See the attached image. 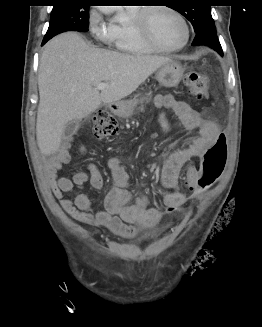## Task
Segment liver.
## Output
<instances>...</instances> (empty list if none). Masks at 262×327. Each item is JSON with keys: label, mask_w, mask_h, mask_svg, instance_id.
Instances as JSON below:
<instances>
[{"label": "liver", "mask_w": 262, "mask_h": 327, "mask_svg": "<svg viewBox=\"0 0 262 327\" xmlns=\"http://www.w3.org/2000/svg\"><path fill=\"white\" fill-rule=\"evenodd\" d=\"M169 62V57L95 48L74 32L50 40L38 71L36 137L41 153L58 151L68 122L89 116L102 103L119 102ZM99 83L109 87L100 92Z\"/></svg>", "instance_id": "obj_1"}]
</instances>
